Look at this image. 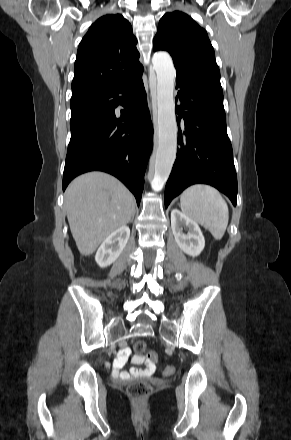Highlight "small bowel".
Wrapping results in <instances>:
<instances>
[{"label":"small bowel","instance_id":"c3829d8e","mask_svg":"<svg viewBox=\"0 0 291 440\" xmlns=\"http://www.w3.org/2000/svg\"><path fill=\"white\" fill-rule=\"evenodd\" d=\"M130 352L131 351L129 348H123L120 351L117 359L114 361L113 374L115 375V377L121 378V379H127L129 376L149 377V376H152L153 374H155L156 366L153 362H151L149 360H144V359L135 360L134 357L132 358L133 362L138 365L144 364V367L131 368L128 373L123 372L122 368L124 367V365L128 361V358L130 356Z\"/></svg>","mask_w":291,"mask_h":440}]
</instances>
